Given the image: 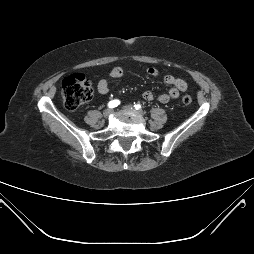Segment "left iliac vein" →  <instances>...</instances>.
<instances>
[{"label":"left iliac vein","instance_id":"obj_1","mask_svg":"<svg viewBox=\"0 0 254 254\" xmlns=\"http://www.w3.org/2000/svg\"><path fill=\"white\" fill-rule=\"evenodd\" d=\"M125 110H128V111H133L135 112L136 114H138L139 116H143V113L141 111H137L133 108V106L131 105H126L123 107Z\"/></svg>","mask_w":254,"mask_h":254}]
</instances>
